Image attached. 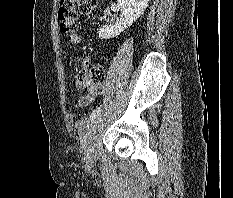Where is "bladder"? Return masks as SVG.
Segmentation results:
<instances>
[{
    "mask_svg": "<svg viewBox=\"0 0 233 198\" xmlns=\"http://www.w3.org/2000/svg\"><path fill=\"white\" fill-rule=\"evenodd\" d=\"M97 128V120L85 119L79 123L78 135L82 144L88 146L91 144Z\"/></svg>",
    "mask_w": 233,
    "mask_h": 198,
    "instance_id": "31cf9c89",
    "label": "bladder"
}]
</instances>
